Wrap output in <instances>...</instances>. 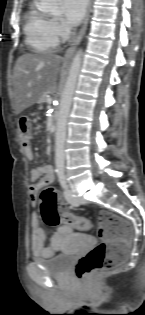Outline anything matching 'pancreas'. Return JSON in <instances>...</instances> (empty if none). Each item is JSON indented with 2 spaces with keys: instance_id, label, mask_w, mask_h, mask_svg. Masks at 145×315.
Returning <instances> with one entry per match:
<instances>
[{
  "instance_id": "cf45deb5",
  "label": "pancreas",
  "mask_w": 145,
  "mask_h": 315,
  "mask_svg": "<svg viewBox=\"0 0 145 315\" xmlns=\"http://www.w3.org/2000/svg\"><path fill=\"white\" fill-rule=\"evenodd\" d=\"M48 99L46 97H42L40 102H46Z\"/></svg>"
}]
</instances>
